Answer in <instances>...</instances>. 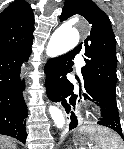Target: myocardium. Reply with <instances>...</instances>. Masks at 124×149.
<instances>
[{"mask_svg": "<svg viewBox=\"0 0 124 149\" xmlns=\"http://www.w3.org/2000/svg\"><path fill=\"white\" fill-rule=\"evenodd\" d=\"M96 114H97V115H100V111L97 110V111H96Z\"/></svg>", "mask_w": 124, "mask_h": 149, "instance_id": "f54148a6", "label": "myocardium"}]
</instances>
